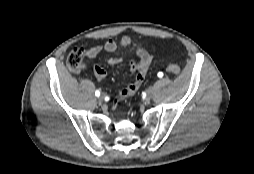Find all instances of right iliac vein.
I'll list each match as a JSON object with an SVG mask.
<instances>
[{
  "label": "right iliac vein",
  "mask_w": 254,
  "mask_h": 174,
  "mask_svg": "<svg viewBox=\"0 0 254 174\" xmlns=\"http://www.w3.org/2000/svg\"><path fill=\"white\" fill-rule=\"evenodd\" d=\"M98 100H99L100 102H102V101L104 100V95H100V96L98 97Z\"/></svg>",
  "instance_id": "1"
}]
</instances>
